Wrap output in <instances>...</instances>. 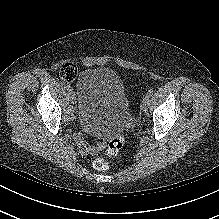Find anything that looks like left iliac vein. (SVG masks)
Returning <instances> with one entry per match:
<instances>
[{
    "label": "left iliac vein",
    "mask_w": 219,
    "mask_h": 219,
    "mask_svg": "<svg viewBox=\"0 0 219 219\" xmlns=\"http://www.w3.org/2000/svg\"><path fill=\"white\" fill-rule=\"evenodd\" d=\"M149 100L150 98H148L147 96L144 97L142 104H141V111L142 113H146L148 110V106H149Z\"/></svg>",
    "instance_id": "left-iliac-vein-1"
}]
</instances>
